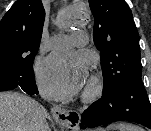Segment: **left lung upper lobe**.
Listing matches in <instances>:
<instances>
[{
  "label": "left lung upper lobe",
  "instance_id": "left-lung-upper-lobe-1",
  "mask_svg": "<svg viewBox=\"0 0 151 131\" xmlns=\"http://www.w3.org/2000/svg\"><path fill=\"white\" fill-rule=\"evenodd\" d=\"M95 22L93 40L101 52L103 93L132 76H141L138 31L124 0H89Z\"/></svg>",
  "mask_w": 151,
  "mask_h": 131
}]
</instances>
